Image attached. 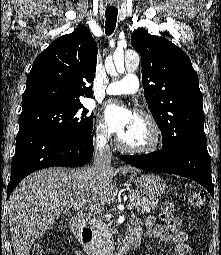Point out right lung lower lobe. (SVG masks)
Returning a JSON list of instances; mask_svg holds the SVG:
<instances>
[{"mask_svg":"<svg viewBox=\"0 0 221 255\" xmlns=\"http://www.w3.org/2000/svg\"><path fill=\"white\" fill-rule=\"evenodd\" d=\"M93 137L69 138L39 129L20 128L11 164L7 198L30 173L52 166L80 167L93 156Z\"/></svg>","mask_w":221,"mask_h":255,"instance_id":"1","label":"right lung lower lobe"}]
</instances>
